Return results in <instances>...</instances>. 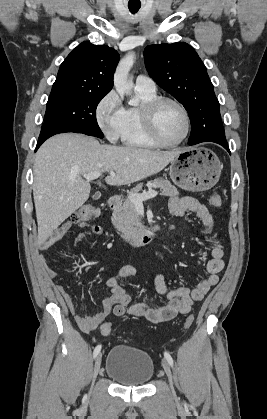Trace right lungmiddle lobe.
I'll list each match as a JSON object with an SVG mask.
<instances>
[{"mask_svg": "<svg viewBox=\"0 0 267 419\" xmlns=\"http://www.w3.org/2000/svg\"><path fill=\"white\" fill-rule=\"evenodd\" d=\"M105 95L97 93L50 94L44 125L103 138L104 135L96 120V108Z\"/></svg>", "mask_w": 267, "mask_h": 419, "instance_id": "right-lung-middle-lobe-1", "label": "right lung middle lobe"}]
</instances>
